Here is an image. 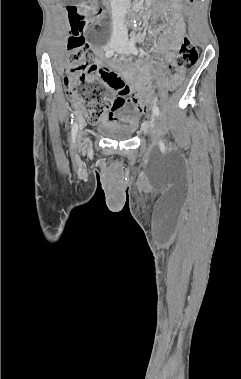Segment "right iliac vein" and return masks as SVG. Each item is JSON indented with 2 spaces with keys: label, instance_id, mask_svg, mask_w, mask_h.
<instances>
[{
  "label": "right iliac vein",
  "instance_id": "63e3f726",
  "mask_svg": "<svg viewBox=\"0 0 241 379\" xmlns=\"http://www.w3.org/2000/svg\"><path fill=\"white\" fill-rule=\"evenodd\" d=\"M118 47V44L117 43H112L110 45V48H113V49H116Z\"/></svg>",
  "mask_w": 241,
  "mask_h": 379
}]
</instances>
